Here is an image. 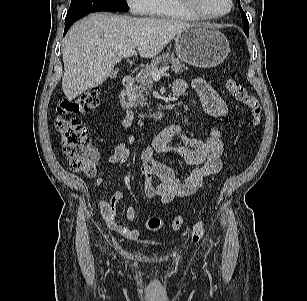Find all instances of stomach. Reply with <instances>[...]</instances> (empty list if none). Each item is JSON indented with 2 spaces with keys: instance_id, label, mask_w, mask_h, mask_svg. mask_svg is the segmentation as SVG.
Wrapping results in <instances>:
<instances>
[{
  "instance_id": "1",
  "label": "stomach",
  "mask_w": 307,
  "mask_h": 301,
  "mask_svg": "<svg viewBox=\"0 0 307 301\" xmlns=\"http://www.w3.org/2000/svg\"><path fill=\"white\" fill-rule=\"evenodd\" d=\"M175 52L185 63L210 68L224 61L229 53V43L214 27L194 25L177 34Z\"/></svg>"
}]
</instances>
